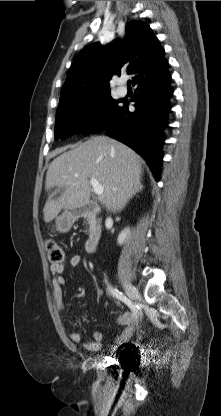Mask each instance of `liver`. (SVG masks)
Masks as SVG:
<instances>
[{
  "instance_id": "obj_1",
  "label": "liver",
  "mask_w": 221,
  "mask_h": 416,
  "mask_svg": "<svg viewBox=\"0 0 221 416\" xmlns=\"http://www.w3.org/2000/svg\"><path fill=\"white\" fill-rule=\"evenodd\" d=\"M140 156L125 144L106 136H95L50 164L46 190L65 187L57 199L49 196L44 221H52L62 209H76L89 202L93 177L103 186L101 204L113 212L121 211L129 199L142 189Z\"/></svg>"
}]
</instances>
